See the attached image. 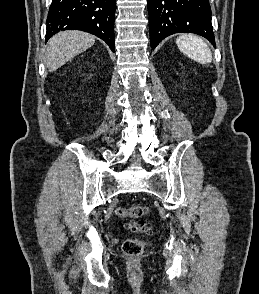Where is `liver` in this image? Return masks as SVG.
<instances>
[{
	"mask_svg": "<svg viewBox=\"0 0 259 294\" xmlns=\"http://www.w3.org/2000/svg\"><path fill=\"white\" fill-rule=\"evenodd\" d=\"M94 43L95 37L82 31L68 30L57 33L47 44L45 55L47 68L50 72L56 71Z\"/></svg>",
	"mask_w": 259,
	"mask_h": 294,
	"instance_id": "obj_1",
	"label": "liver"
}]
</instances>
